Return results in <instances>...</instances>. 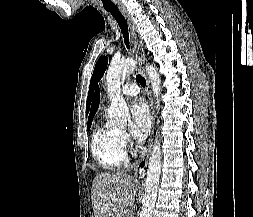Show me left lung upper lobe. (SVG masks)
<instances>
[{
	"label": "left lung upper lobe",
	"mask_w": 253,
	"mask_h": 217,
	"mask_svg": "<svg viewBox=\"0 0 253 217\" xmlns=\"http://www.w3.org/2000/svg\"><path fill=\"white\" fill-rule=\"evenodd\" d=\"M107 63H108V58L103 56L97 61L96 65H95L94 72H93V75H92V78L90 81V86H89V93H88V98H87V111H88V108H89V105H90V102L92 99L94 88H95L97 82L103 76V74L106 70Z\"/></svg>",
	"instance_id": "1"
}]
</instances>
